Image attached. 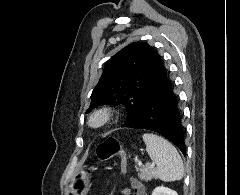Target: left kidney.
I'll use <instances>...</instances> for the list:
<instances>
[{
  "instance_id": "1",
  "label": "left kidney",
  "mask_w": 240,
  "mask_h": 195,
  "mask_svg": "<svg viewBox=\"0 0 240 195\" xmlns=\"http://www.w3.org/2000/svg\"><path fill=\"white\" fill-rule=\"evenodd\" d=\"M152 195H178L177 191L170 189V187H164V185H158L152 191Z\"/></svg>"
}]
</instances>
